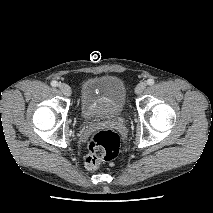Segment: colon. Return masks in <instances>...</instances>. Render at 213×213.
<instances>
[{
	"instance_id": "5ec220e1",
	"label": "colon",
	"mask_w": 213,
	"mask_h": 213,
	"mask_svg": "<svg viewBox=\"0 0 213 213\" xmlns=\"http://www.w3.org/2000/svg\"><path fill=\"white\" fill-rule=\"evenodd\" d=\"M121 140L112 130H101L94 133L89 142V153L85 160V167L95 171L101 162L115 159L120 151Z\"/></svg>"
}]
</instances>
